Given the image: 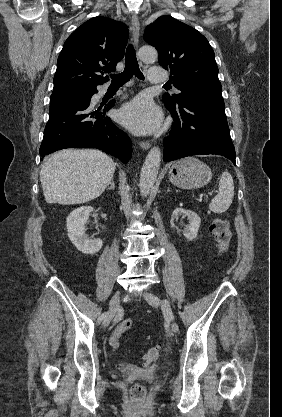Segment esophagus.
Here are the masks:
<instances>
[{"label": "esophagus", "instance_id": "obj_1", "mask_svg": "<svg viewBox=\"0 0 282 417\" xmlns=\"http://www.w3.org/2000/svg\"><path fill=\"white\" fill-rule=\"evenodd\" d=\"M131 23L133 30V43L135 46H137L139 42L140 23L138 16L135 13L132 14ZM139 145L143 150H148L151 146L150 142H140Z\"/></svg>", "mask_w": 282, "mask_h": 417}]
</instances>
